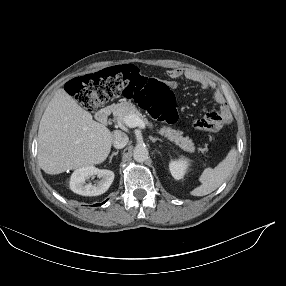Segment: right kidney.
Wrapping results in <instances>:
<instances>
[{
  "label": "right kidney",
  "instance_id": "ca27d5eb",
  "mask_svg": "<svg viewBox=\"0 0 286 286\" xmlns=\"http://www.w3.org/2000/svg\"><path fill=\"white\" fill-rule=\"evenodd\" d=\"M100 178L96 184L86 183L92 176ZM114 180V173L107 169L94 166L79 168L73 172L70 179V189L83 196H98L105 193Z\"/></svg>",
  "mask_w": 286,
  "mask_h": 286
}]
</instances>
